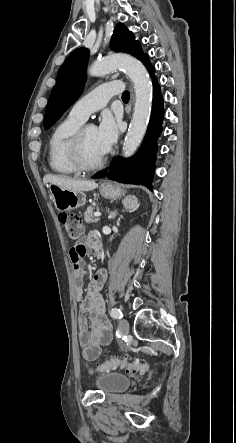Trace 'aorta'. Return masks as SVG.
Here are the masks:
<instances>
[{
  "instance_id": "762f6f07",
  "label": "aorta",
  "mask_w": 236,
  "mask_h": 443,
  "mask_svg": "<svg viewBox=\"0 0 236 443\" xmlns=\"http://www.w3.org/2000/svg\"><path fill=\"white\" fill-rule=\"evenodd\" d=\"M117 68L125 70L135 88L134 112L123 149L124 156L130 157L146 132L152 106V85L143 64L129 55L108 56L94 63L88 73L91 76H103Z\"/></svg>"
}]
</instances>
